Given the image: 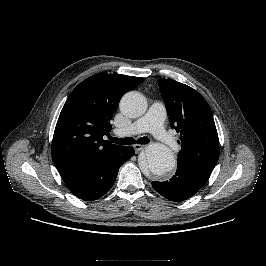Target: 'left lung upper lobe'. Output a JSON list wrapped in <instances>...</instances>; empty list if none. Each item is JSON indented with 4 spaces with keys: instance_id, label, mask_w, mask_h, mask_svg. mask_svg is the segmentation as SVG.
<instances>
[{
    "instance_id": "5c2ea615",
    "label": "left lung upper lobe",
    "mask_w": 266,
    "mask_h": 266,
    "mask_svg": "<svg viewBox=\"0 0 266 266\" xmlns=\"http://www.w3.org/2000/svg\"><path fill=\"white\" fill-rule=\"evenodd\" d=\"M170 125L181 134L177 166L209 179L219 159V139L211 109L193 88L159 79Z\"/></svg>"
}]
</instances>
